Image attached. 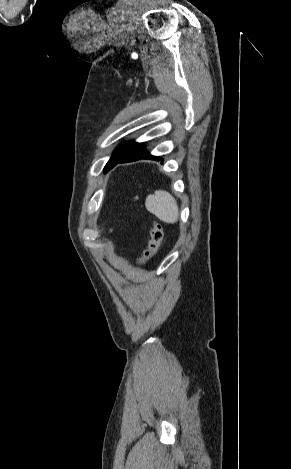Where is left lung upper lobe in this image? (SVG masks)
Listing matches in <instances>:
<instances>
[{
	"instance_id": "5c2ea615",
	"label": "left lung upper lobe",
	"mask_w": 291,
	"mask_h": 469,
	"mask_svg": "<svg viewBox=\"0 0 291 469\" xmlns=\"http://www.w3.org/2000/svg\"><path fill=\"white\" fill-rule=\"evenodd\" d=\"M137 143L133 141L129 142H124L121 145L117 147V149L114 151L112 157L106 164L104 171L107 172L109 171L114 165L117 159L122 157L126 152H128L132 147H134Z\"/></svg>"
}]
</instances>
